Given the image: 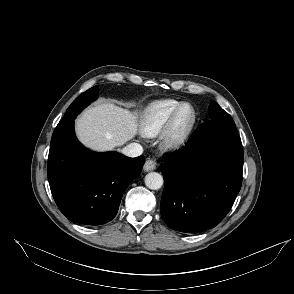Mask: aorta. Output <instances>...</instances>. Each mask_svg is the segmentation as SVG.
<instances>
[{"label": "aorta", "instance_id": "1", "mask_svg": "<svg viewBox=\"0 0 294 294\" xmlns=\"http://www.w3.org/2000/svg\"><path fill=\"white\" fill-rule=\"evenodd\" d=\"M164 181L161 174L150 172L145 176V185L152 190H158L162 187Z\"/></svg>", "mask_w": 294, "mask_h": 294}]
</instances>
